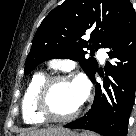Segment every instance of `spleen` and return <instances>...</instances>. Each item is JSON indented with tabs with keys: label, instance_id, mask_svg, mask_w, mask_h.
Returning a JSON list of instances; mask_svg holds the SVG:
<instances>
[{
	"label": "spleen",
	"instance_id": "3e777b00",
	"mask_svg": "<svg viewBox=\"0 0 136 136\" xmlns=\"http://www.w3.org/2000/svg\"><path fill=\"white\" fill-rule=\"evenodd\" d=\"M82 136H96V135L91 134V133H84V134H82Z\"/></svg>",
	"mask_w": 136,
	"mask_h": 136
}]
</instances>
